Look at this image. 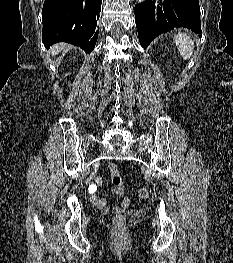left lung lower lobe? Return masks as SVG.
<instances>
[{"label": "left lung lower lobe", "instance_id": "1", "mask_svg": "<svg viewBox=\"0 0 233 263\" xmlns=\"http://www.w3.org/2000/svg\"><path fill=\"white\" fill-rule=\"evenodd\" d=\"M140 44L146 48L160 33L185 27L201 33L198 0H145L135 6Z\"/></svg>", "mask_w": 233, "mask_h": 263}]
</instances>
